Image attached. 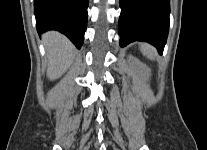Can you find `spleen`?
I'll return each mask as SVG.
<instances>
[{
  "instance_id": "spleen-1",
  "label": "spleen",
  "mask_w": 207,
  "mask_h": 150,
  "mask_svg": "<svg viewBox=\"0 0 207 150\" xmlns=\"http://www.w3.org/2000/svg\"><path fill=\"white\" fill-rule=\"evenodd\" d=\"M140 50L144 56L149 58L150 60H154L156 56V50L150 46L149 44L142 43L140 45Z\"/></svg>"
}]
</instances>
